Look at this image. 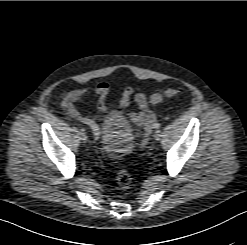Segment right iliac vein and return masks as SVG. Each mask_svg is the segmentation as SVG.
I'll return each mask as SVG.
<instances>
[{"instance_id":"1","label":"right iliac vein","mask_w":247,"mask_h":245,"mask_svg":"<svg viewBox=\"0 0 247 245\" xmlns=\"http://www.w3.org/2000/svg\"><path fill=\"white\" fill-rule=\"evenodd\" d=\"M79 135H80V138H81L82 141H84V142L87 141V135H86L84 129H80Z\"/></svg>"}]
</instances>
